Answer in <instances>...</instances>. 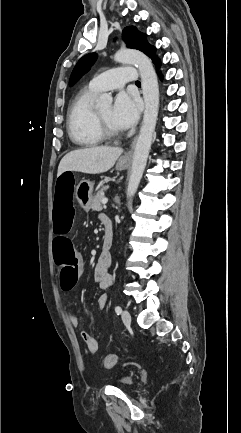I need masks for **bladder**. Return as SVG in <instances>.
Returning <instances> with one entry per match:
<instances>
[{"instance_id": "bladder-1", "label": "bladder", "mask_w": 241, "mask_h": 433, "mask_svg": "<svg viewBox=\"0 0 241 433\" xmlns=\"http://www.w3.org/2000/svg\"><path fill=\"white\" fill-rule=\"evenodd\" d=\"M133 377L132 376H126V377H123V378H121L118 382H117V385L119 386V387H122V388H130V387H132V385H133Z\"/></svg>"}]
</instances>
